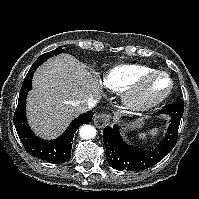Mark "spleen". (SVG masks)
Returning <instances> with one entry per match:
<instances>
[{"instance_id":"spleen-1","label":"spleen","mask_w":199,"mask_h":199,"mask_svg":"<svg viewBox=\"0 0 199 199\" xmlns=\"http://www.w3.org/2000/svg\"><path fill=\"white\" fill-rule=\"evenodd\" d=\"M148 135L151 138H156L159 135V130L157 128H154V129H152V130H150L148 132ZM138 136L143 142H146V138H147V134L146 133H141Z\"/></svg>"}]
</instances>
